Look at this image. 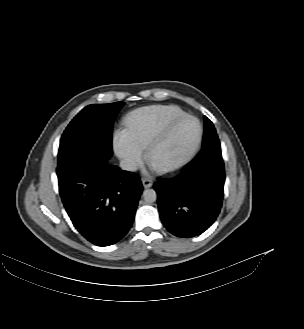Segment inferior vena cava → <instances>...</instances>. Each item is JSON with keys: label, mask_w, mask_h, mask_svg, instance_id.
<instances>
[{"label": "inferior vena cava", "mask_w": 304, "mask_h": 329, "mask_svg": "<svg viewBox=\"0 0 304 329\" xmlns=\"http://www.w3.org/2000/svg\"><path fill=\"white\" fill-rule=\"evenodd\" d=\"M120 168L127 171H136L137 163L131 159H122L120 161Z\"/></svg>", "instance_id": "obj_1"}]
</instances>
